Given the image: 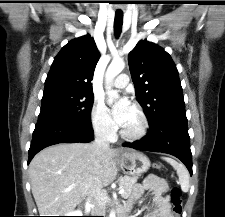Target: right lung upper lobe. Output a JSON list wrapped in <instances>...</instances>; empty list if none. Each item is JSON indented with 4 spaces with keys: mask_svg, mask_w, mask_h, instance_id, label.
<instances>
[{
    "mask_svg": "<svg viewBox=\"0 0 225 217\" xmlns=\"http://www.w3.org/2000/svg\"><path fill=\"white\" fill-rule=\"evenodd\" d=\"M99 58L100 53L90 35L71 40L55 57L45 81L44 93L93 94L91 80Z\"/></svg>",
    "mask_w": 225,
    "mask_h": 217,
    "instance_id": "obj_1",
    "label": "right lung upper lobe"
}]
</instances>
